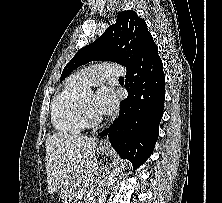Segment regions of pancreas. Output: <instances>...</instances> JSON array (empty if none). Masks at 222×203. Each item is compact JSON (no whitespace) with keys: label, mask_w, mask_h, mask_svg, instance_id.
Returning a JSON list of instances; mask_svg holds the SVG:
<instances>
[{"label":"pancreas","mask_w":222,"mask_h":203,"mask_svg":"<svg viewBox=\"0 0 222 203\" xmlns=\"http://www.w3.org/2000/svg\"><path fill=\"white\" fill-rule=\"evenodd\" d=\"M93 178L92 173L85 175L83 178H81L78 182V188H77V193L82 192L85 187L87 186L89 180H91Z\"/></svg>","instance_id":"obj_1"}]
</instances>
